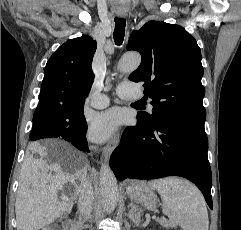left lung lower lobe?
I'll use <instances>...</instances> for the list:
<instances>
[{
	"label": "left lung lower lobe",
	"mask_w": 241,
	"mask_h": 230,
	"mask_svg": "<svg viewBox=\"0 0 241 230\" xmlns=\"http://www.w3.org/2000/svg\"><path fill=\"white\" fill-rule=\"evenodd\" d=\"M207 151L204 123L164 116L149 126L137 119V126L125 129L111 155L110 167L119 180L187 178L201 190L212 209Z\"/></svg>",
	"instance_id": "1"
}]
</instances>
